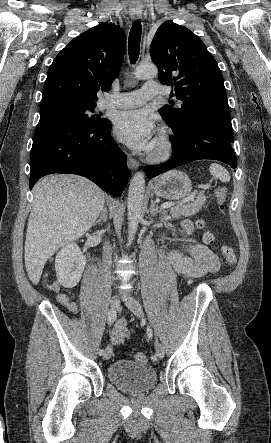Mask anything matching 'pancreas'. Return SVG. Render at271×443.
<instances>
[{
	"instance_id": "cf45deb5",
	"label": "pancreas",
	"mask_w": 271,
	"mask_h": 443,
	"mask_svg": "<svg viewBox=\"0 0 271 443\" xmlns=\"http://www.w3.org/2000/svg\"><path fill=\"white\" fill-rule=\"evenodd\" d=\"M206 198L207 196H203V194H199L197 196L196 200L194 202H185V204H182V202H179V204H176V206H173V208H170V214L172 218H181V216H185V218H188V216H195V214H198L199 210H202V206L206 204ZM164 214H166L165 208H162Z\"/></svg>"
}]
</instances>
